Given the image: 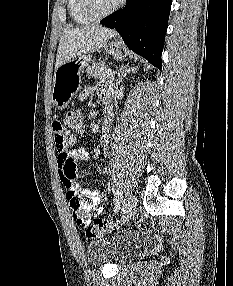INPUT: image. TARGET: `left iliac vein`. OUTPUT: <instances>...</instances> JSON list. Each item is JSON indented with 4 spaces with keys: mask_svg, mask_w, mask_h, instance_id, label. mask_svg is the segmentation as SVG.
<instances>
[{
    "mask_svg": "<svg viewBox=\"0 0 233 286\" xmlns=\"http://www.w3.org/2000/svg\"><path fill=\"white\" fill-rule=\"evenodd\" d=\"M136 206H137V199L135 196L131 195L127 199V201L124 205V208H123V212H124L123 220H124V222L129 221L131 216L135 214Z\"/></svg>",
    "mask_w": 233,
    "mask_h": 286,
    "instance_id": "left-iliac-vein-1",
    "label": "left iliac vein"
}]
</instances>
